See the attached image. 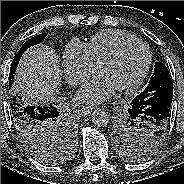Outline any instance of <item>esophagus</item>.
Segmentation results:
<instances>
[{"mask_svg":"<svg viewBox=\"0 0 184 184\" xmlns=\"http://www.w3.org/2000/svg\"><path fill=\"white\" fill-rule=\"evenodd\" d=\"M94 108L91 106H80L79 111L82 115H88Z\"/></svg>","mask_w":184,"mask_h":184,"instance_id":"34e87169","label":"esophagus"}]
</instances>
